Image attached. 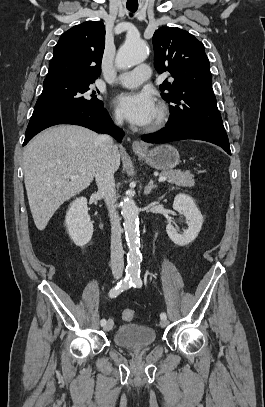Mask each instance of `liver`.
Wrapping results in <instances>:
<instances>
[{"label": "liver", "instance_id": "1", "mask_svg": "<svg viewBox=\"0 0 265 407\" xmlns=\"http://www.w3.org/2000/svg\"><path fill=\"white\" fill-rule=\"evenodd\" d=\"M99 135L77 125H59L34 137L23 155L24 182L34 223L46 228L56 210L93 181ZM114 171L120 165L115 146Z\"/></svg>", "mask_w": 265, "mask_h": 407}]
</instances>
